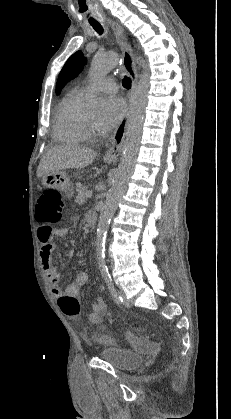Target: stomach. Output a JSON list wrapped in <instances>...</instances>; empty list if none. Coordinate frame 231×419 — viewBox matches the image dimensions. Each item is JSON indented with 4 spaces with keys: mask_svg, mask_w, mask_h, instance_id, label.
Returning <instances> with one entry per match:
<instances>
[{
    "mask_svg": "<svg viewBox=\"0 0 231 419\" xmlns=\"http://www.w3.org/2000/svg\"><path fill=\"white\" fill-rule=\"evenodd\" d=\"M42 185L65 192L68 197H71L74 193L72 183L68 175L63 171L44 175L42 177Z\"/></svg>",
    "mask_w": 231,
    "mask_h": 419,
    "instance_id": "stomach-1",
    "label": "stomach"
}]
</instances>
